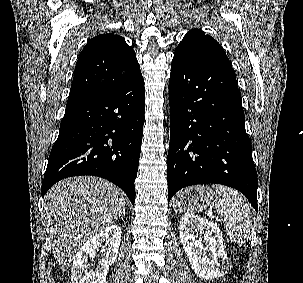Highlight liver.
I'll return each mask as SVG.
<instances>
[{"label": "liver", "mask_w": 303, "mask_h": 283, "mask_svg": "<svg viewBox=\"0 0 303 283\" xmlns=\"http://www.w3.org/2000/svg\"><path fill=\"white\" fill-rule=\"evenodd\" d=\"M125 209L124 192L92 176L67 178L45 195L44 215L56 263L65 272L93 235L111 226Z\"/></svg>", "instance_id": "1"}]
</instances>
